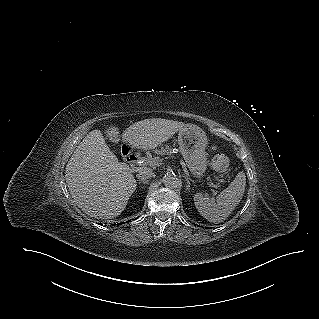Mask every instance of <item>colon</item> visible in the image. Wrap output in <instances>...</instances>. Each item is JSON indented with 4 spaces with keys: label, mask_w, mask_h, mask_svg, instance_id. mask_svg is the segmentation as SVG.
<instances>
[{
    "label": "colon",
    "mask_w": 319,
    "mask_h": 319,
    "mask_svg": "<svg viewBox=\"0 0 319 319\" xmlns=\"http://www.w3.org/2000/svg\"><path fill=\"white\" fill-rule=\"evenodd\" d=\"M104 138L109 143L118 144L121 141L119 129L116 127L106 128L104 131ZM210 165L214 170L223 173L227 169L228 161L223 154L216 153L213 156Z\"/></svg>",
    "instance_id": "obj_1"
}]
</instances>
